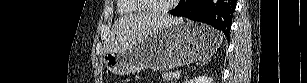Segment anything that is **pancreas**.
Masks as SVG:
<instances>
[{
    "label": "pancreas",
    "instance_id": "1",
    "mask_svg": "<svg viewBox=\"0 0 307 83\" xmlns=\"http://www.w3.org/2000/svg\"><path fill=\"white\" fill-rule=\"evenodd\" d=\"M174 74H175L174 72H164L162 74V78L167 82L173 83L175 81Z\"/></svg>",
    "mask_w": 307,
    "mask_h": 83
}]
</instances>
